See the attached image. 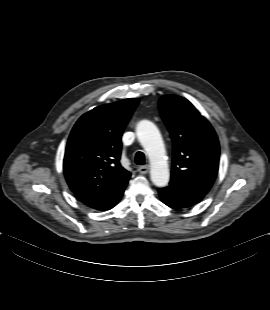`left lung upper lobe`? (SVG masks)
I'll return each instance as SVG.
<instances>
[{
    "mask_svg": "<svg viewBox=\"0 0 270 310\" xmlns=\"http://www.w3.org/2000/svg\"><path fill=\"white\" fill-rule=\"evenodd\" d=\"M159 110L173 140L171 180L210 189L219 167V142L212 126L180 96H162Z\"/></svg>",
    "mask_w": 270,
    "mask_h": 310,
    "instance_id": "1",
    "label": "left lung upper lobe"
}]
</instances>
